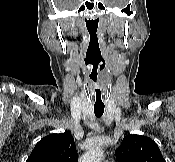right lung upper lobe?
Here are the masks:
<instances>
[{
    "label": "right lung upper lobe",
    "mask_w": 175,
    "mask_h": 162,
    "mask_svg": "<svg viewBox=\"0 0 175 162\" xmlns=\"http://www.w3.org/2000/svg\"><path fill=\"white\" fill-rule=\"evenodd\" d=\"M77 151L69 132L51 134L42 138L26 162H76Z\"/></svg>",
    "instance_id": "right-lung-upper-lobe-1"
}]
</instances>
